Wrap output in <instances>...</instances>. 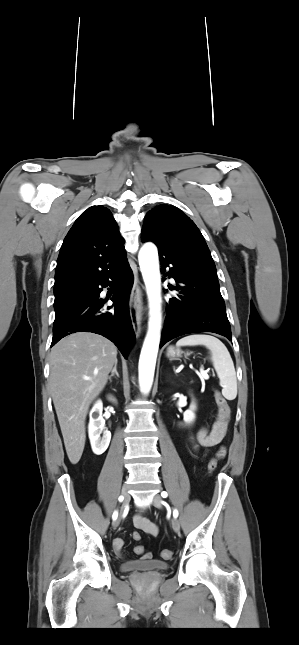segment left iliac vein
Instances as JSON below:
<instances>
[{
	"instance_id": "left-iliac-vein-1",
	"label": "left iliac vein",
	"mask_w": 299,
	"mask_h": 645,
	"mask_svg": "<svg viewBox=\"0 0 299 645\" xmlns=\"http://www.w3.org/2000/svg\"><path fill=\"white\" fill-rule=\"evenodd\" d=\"M152 504H153L155 507L159 508V509H160V508H162V498H161V496H160V495H158V494H157V495H155V496L153 497ZM171 525H172L173 530H174L176 533H179V531H180V523H179V520H178L177 518H175V517H174V518H172V520H171Z\"/></svg>"
}]
</instances>
